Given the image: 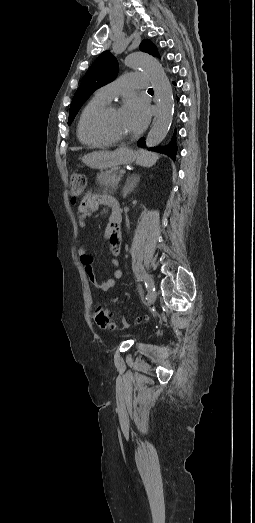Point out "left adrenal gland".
Returning <instances> with one entry per match:
<instances>
[{
    "instance_id": "a2214340",
    "label": "left adrenal gland",
    "mask_w": 255,
    "mask_h": 523,
    "mask_svg": "<svg viewBox=\"0 0 255 523\" xmlns=\"http://www.w3.org/2000/svg\"><path fill=\"white\" fill-rule=\"evenodd\" d=\"M139 182V176H136V174H133V176H130V178H127L125 182V186L122 190V198H126L134 188H136L137 184Z\"/></svg>"
}]
</instances>
